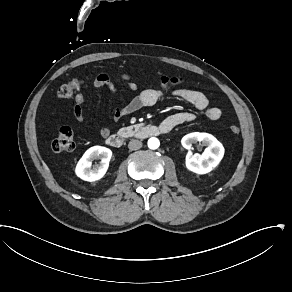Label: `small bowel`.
<instances>
[{
  "mask_svg": "<svg viewBox=\"0 0 292 292\" xmlns=\"http://www.w3.org/2000/svg\"><path fill=\"white\" fill-rule=\"evenodd\" d=\"M121 78L128 81L129 88L135 92V95L125 105L118 107L115 110V118L119 119L124 116L133 114L141 109L152 107L160 102L165 93L155 89H143L138 91L137 85L132 81V78L127 73H122ZM95 88L100 89L106 87L111 91H114V85L110 77L105 73L98 74L93 82ZM172 95L186 101L187 103L194 106L197 110L203 112L205 117L211 121L219 120L222 116L220 108L210 106L208 98L201 92L187 89L178 88L172 91ZM85 97L82 93H77L74 97V108L73 113L77 122L84 123L86 121L85 116ZM195 116L191 112H178L167 116L161 123L160 126L169 125L171 128H175L181 124L194 120ZM110 130L108 126L101 125L100 135L102 138L109 136Z\"/></svg>",
  "mask_w": 292,
  "mask_h": 292,
  "instance_id": "obj_1",
  "label": "small bowel"
}]
</instances>
